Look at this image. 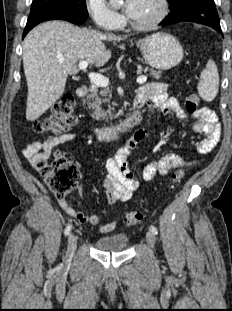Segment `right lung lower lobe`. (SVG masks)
<instances>
[{"mask_svg":"<svg viewBox=\"0 0 232 311\" xmlns=\"http://www.w3.org/2000/svg\"><path fill=\"white\" fill-rule=\"evenodd\" d=\"M85 16L64 8H45L31 12L23 33L25 35L37 24L47 20H66L75 24H82L86 21Z\"/></svg>","mask_w":232,"mask_h":311,"instance_id":"right-lung-lower-lobe-1","label":"right lung lower lobe"}]
</instances>
